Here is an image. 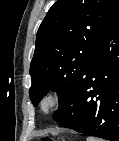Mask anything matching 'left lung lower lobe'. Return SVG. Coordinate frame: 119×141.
<instances>
[{
  "label": "left lung lower lobe",
  "instance_id": "0a47b994",
  "mask_svg": "<svg viewBox=\"0 0 119 141\" xmlns=\"http://www.w3.org/2000/svg\"><path fill=\"white\" fill-rule=\"evenodd\" d=\"M54 119L63 127L119 141V13L99 40L77 86Z\"/></svg>",
  "mask_w": 119,
  "mask_h": 141
}]
</instances>
